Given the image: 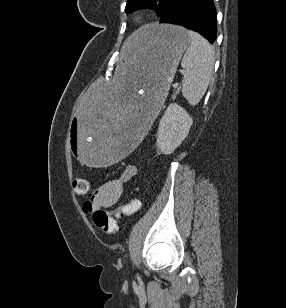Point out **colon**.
<instances>
[{"label": "colon", "mask_w": 286, "mask_h": 308, "mask_svg": "<svg viewBox=\"0 0 286 308\" xmlns=\"http://www.w3.org/2000/svg\"><path fill=\"white\" fill-rule=\"evenodd\" d=\"M73 188L79 194H86L89 191V184L84 179H75ZM140 208V201L137 199L130 200L127 204L119 207L114 214L103 209H98L93 213L94 223L106 234H115L118 231V225L115 217L122 215H131Z\"/></svg>", "instance_id": "obj_1"}]
</instances>
